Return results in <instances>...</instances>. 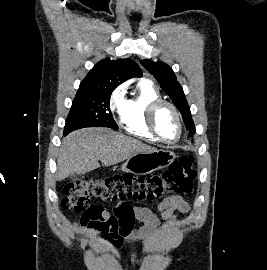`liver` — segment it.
Here are the masks:
<instances>
[{"label": "liver", "mask_w": 267, "mask_h": 270, "mask_svg": "<svg viewBox=\"0 0 267 270\" xmlns=\"http://www.w3.org/2000/svg\"><path fill=\"white\" fill-rule=\"evenodd\" d=\"M157 150L135 138L108 128H85L63 139L57 160V180L110 166L141 152Z\"/></svg>", "instance_id": "liver-1"}]
</instances>
